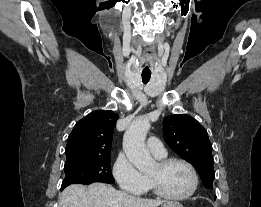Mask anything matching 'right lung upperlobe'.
<instances>
[{
    "label": "right lung upper lobe",
    "instance_id": "1",
    "mask_svg": "<svg viewBox=\"0 0 261 207\" xmlns=\"http://www.w3.org/2000/svg\"><path fill=\"white\" fill-rule=\"evenodd\" d=\"M117 119L113 111L98 110L78 121L68 137L66 162L110 156Z\"/></svg>",
    "mask_w": 261,
    "mask_h": 207
}]
</instances>
